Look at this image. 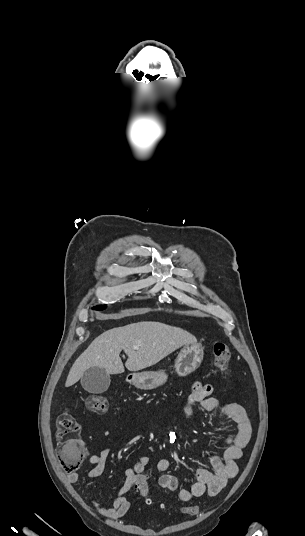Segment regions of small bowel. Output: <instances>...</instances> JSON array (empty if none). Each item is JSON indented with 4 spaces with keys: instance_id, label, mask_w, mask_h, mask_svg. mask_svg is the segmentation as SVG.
Segmentation results:
<instances>
[{
    "instance_id": "small-bowel-1",
    "label": "small bowel",
    "mask_w": 305,
    "mask_h": 536,
    "mask_svg": "<svg viewBox=\"0 0 305 536\" xmlns=\"http://www.w3.org/2000/svg\"><path fill=\"white\" fill-rule=\"evenodd\" d=\"M213 390L214 388L211 384L200 381L195 382L183 413L186 416H190L191 406L199 404L202 409L215 411L218 415L235 423L236 431L226 439L227 446L223 455L213 456L211 458L212 469H199L195 474L196 482L192 487L179 491L178 496L180 500H192L204 494L215 496L224 489L228 482L237 475L238 467L236 461L241 458L243 450L251 438L252 426L243 406L235 401L221 402L212 396ZM109 455L110 449L108 447L103 448L99 454L93 455H90L84 449L81 466L87 463L93 465V468L87 473L89 480H95L103 474ZM149 463L150 458L148 456H141L131 468L125 471L123 486L114 498L111 507H106L98 502L94 503V506L101 515L110 519H119L130 509L131 502L126 498V494L134 490L136 479H146V477L140 478L139 472L145 471ZM170 466L171 461L168 458H161L156 463V467L160 472H166ZM78 478L79 474L77 472L68 474L67 476L70 483H76ZM158 485L163 489L176 491L178 489V480L173 475L164 474L159 477Z\"/></svg>"
}]
</instances>
